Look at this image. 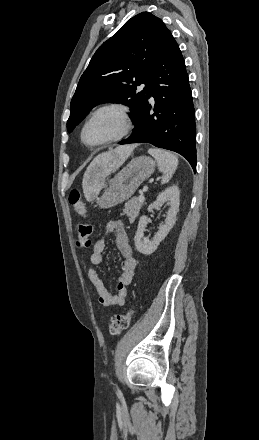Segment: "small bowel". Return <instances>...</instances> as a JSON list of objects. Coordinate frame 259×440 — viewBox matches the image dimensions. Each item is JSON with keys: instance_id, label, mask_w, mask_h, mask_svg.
<instances>
[{"instance_id": "obj_1", "label": "small bowel", "mask_w": 259, "mask_h": 440, "mask_svg": "<svg viewBox=\"0 0 259 440\" xmlns=\"http://www.w3.org/2000/svg\"><path fill=\"white\" fill-rule=\"evenodd\" d=\"M106 230L108 233L114 234L116 247L123 257L121 274L117 284V293L112 295L108 291L104 281L96 270V267L102 263L104 257L106 242L103 238L98 239L93 246L90 255L88 278L97 290L98 300L101 305L105 307L123 306L128 296L127 287L132 283L135 275L137 261L134 257L133 249L122 221L111 220L107 224Z\"/></svg>"}]
</instances>
